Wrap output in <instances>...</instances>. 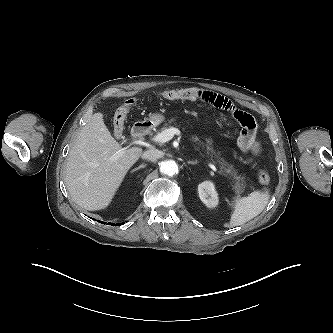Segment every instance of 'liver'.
Wrapping results in <instances>:
<instances>
[{
    "label": "liver",
    "mask_w": 333,
    "mask_h": 333,
    "mask_svg": "<svg viewBox=\"0 0 333 333\" xmlns=\"http://www.w3.org/2000/svg\"><path fill=\"white\" fill-rule=\"evenodd\" d=\"M141 155L139 147L122 148L106 127L103 114H93L66 163L65 183L72 200L89 211L105 209Z\"/></svg>",
    "instance_id": "1"
}]
</instances>
